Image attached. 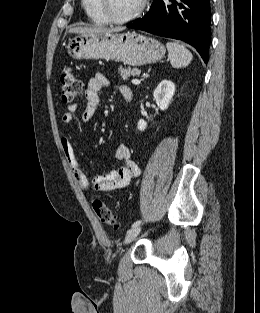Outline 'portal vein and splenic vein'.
Instances as JSON below:
<instances>
[{"instance_id":"obj_1","label":"portal vein and splenic vein","mask_w":260,"mask_h":313,"mask_svg":"<svg viewBox=\"0 0 260 313\" xmlns=\"http://www.w3.org/2000/svg\"><path fill=\"white\" fill-rule=\"evenodd\" d=\"M132 83L135 85H139L141 83V81L139 79H133Z\"/></svg>"}]
</instances>
